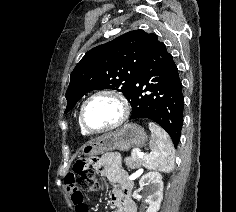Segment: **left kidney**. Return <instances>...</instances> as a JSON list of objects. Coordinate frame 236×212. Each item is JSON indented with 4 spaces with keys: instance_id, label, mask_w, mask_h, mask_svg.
Instances as JSON below:
<instances>
[{
    "instance_id": "left-kidney-1",
    "label": "left kidney",
    "mask_w": 236,
    "mask_h": 212,
    "mask_svg": "<svg viewBox=\"0 0 236 212\" xmlns=\"http://www.w3.org/2000/svg\"><path fill=\"white\" fill-rule=\"evenodd\" d=\"M141 188L148 186L149 196L147 203L149 207L146 212H158L163 199L162 175L159 172H149L143 175L139 181Z\"/></svg>"
}]
</instances>
